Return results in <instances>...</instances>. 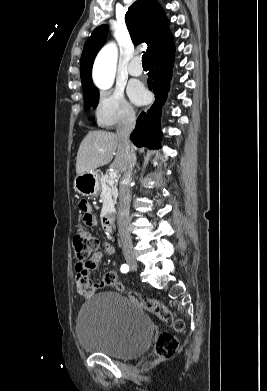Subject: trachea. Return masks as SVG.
Listing matches in <instances>:
<instances>
[{
  "label": "trachea",
  "instance_id": "obj_1",
  "mask_svg": "<svg viewBox=\"0 0 267 391\" xmlns=\"http://www.w3.org/2000/svg\"><path fill=\"white\" fill-rule=\"evenodd\" d=\"M142 65H148L146 53L142 55Z\"/></svg>",
  "mask_w": 267,
  "mask_h": 391
}]
</instances>
